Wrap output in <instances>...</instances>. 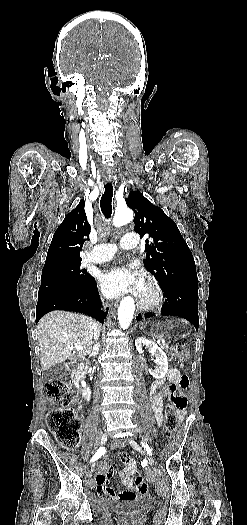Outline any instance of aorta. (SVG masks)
Returning a JSON list of instances; mask_svg holds the SVG:
<instances>
[{"mask_svg": "<svg viewBox=\"0 0 247 525\" xmlns=\"http://www.w3.org/2000/svg\"><path fill=\"white\" fill-rule=\"evenodd\" d=\"M134 214L129 208L120 209L115 212L113 225L121 227L133 220ZM135 304L132 297H125L118 309V321L122 329H127L134 316Z\"/></svg>", "mask_w": 247, "mask_h": 525, "instance_id": "aorta-1", "label": "aorta"}]
</instances>
